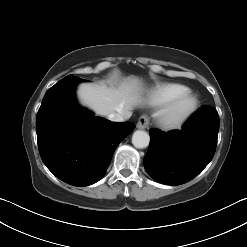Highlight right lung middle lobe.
Returning <instances> with one entry per match:
<instances>
[{
    "label": "right lung middle lobe",
    "instance_id": "1",
    "mask_svg": "<svg viewBox=\"0 0 247 247\" xmlns=\"http://www.w3.org/2000/svg\"><path fill=\"white\" fill-rule=\"evenodd\" d=\"M72 77H73V75H68L65 78H72Z\"/></svg>",
    "mask_w": 247,
    "mask_h": 247
}]
</instances>
